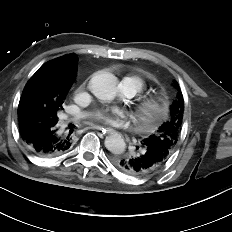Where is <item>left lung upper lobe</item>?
<instances>
[{
    "mask_svg": "<svg viewBox=\"0 0 232 232\" xmlns=\"http://www.w3.org/2000/svg\"><path fill=\"white\" fill-rule=\"evenodd\" d=\"M174 87L177 88V95L171 103L169 119L154 134L141 141V145L158 148L168 157L177 144L184 114V99L177 82H174Z\"/></svg>",
    "mask_w": 232,
    "mask_h": 232,
    "instance_id": "obj_1",
    "label": "left lung upper lobe"
}]
</instances>
